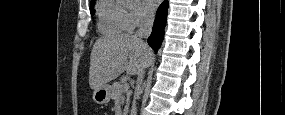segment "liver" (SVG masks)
Returning <instances> with one entry per match:
<instances>
[{
    "label": "liver",
    "mask_w": 285,
    "mask_h": 115,
    "mask_svg": "<svg viewBox=\"0 0 285 115\" xmlns=\"http://www.w3.org/2000/svg\"><path fill=\"white\" fill-rule=\"evenodd\" d=\"M152 50L143 46L134 36L117 34L98 39L93 45L89 85L95 90L117 78L124 71L129 75L148 67Z\"/></svg>",
    "instance_id": "1"
}]
</instances>
